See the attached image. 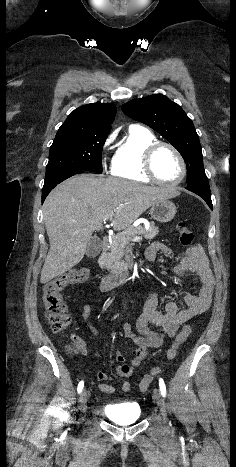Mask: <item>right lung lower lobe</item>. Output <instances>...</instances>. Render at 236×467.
Listing matches in <instances>:
<instances>
[{"instance_id": "98d812e1", "label": "right lung lower lobe", "mask_w": 236, "mask_h": 467, "mask_svg": "<svg viewBox=\"0 0 236 467\" xmlns=\"http://www.w3.org/2000/svg\"><path fill=\"white\" fill-rule=\"evenodd\" d=\"M84 172L83 170H69V171H64L61 172L57 175H53L50 177L45 178V183L42 189V203L44 202L46 196L49 194V192L60 182L64 181L65 179L77 174V173H82Z\"/></svg>"}]
</instances>
